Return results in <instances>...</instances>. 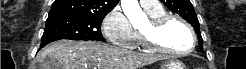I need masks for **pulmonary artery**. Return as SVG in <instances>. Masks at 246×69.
<instances>
[{
	"mask_svg": "<svg viewBox=\"0 0 246 69\" xmlns=\"http://www.w3.org/2000/svg\"><path fill=\"white\" fill-rule=\"evenodd\" d=\"M141 5L144 9H154L161 6L159 1L154 0H141Z\"/></svg>",
	"mask_w": 246,
	"mask_h": 69,
	"instance_id": "1",
	"label": "pulmonary artery"
}]
</instances>
